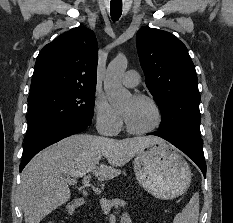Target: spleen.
Instances as JSON below:
<instances>
[{"label":"spleen","mask_w":233,"mask_h":223,"mask_svg":"<svg viewBox=\"0 0 233 223\" xmlns=\"http://www.w3.org/2000/svg\"><path fill=\"white\" fill-rule=\"evenodd\" d=\"M199 217V193L192 195L189 203L185 205L181 213L176 215V223H198Z\"/></svg>","instance_id":"obj_1"}]
</instances>
